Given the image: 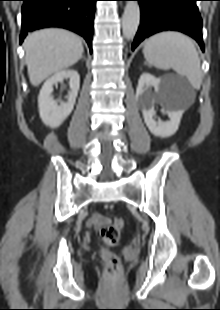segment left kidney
<instances>
[{
	"instance_id": "5707ae66",
	"label": "left kidney",
	"mask_w": 220,
	"mask_h": 310,
	"mask_svg": "<svg viewBox=\"0 0 220 310\" xmlns=\"http://www.w3.org/2000/svg\"><path fill=\"white\" fill-rule=\"evenodd\" d=\"M154 87L155 96L147 93L149 87ZM170 84L161 78H156L149 73H143L138 81L136 97L142 108L143 118L150 132L162 138L170 137L178 130L183 110H177L166 107V113L169 117L167 122H156L154 120V104L157 101L164 103V99L169 94Z\"/></svg>"
}]
</instances>
